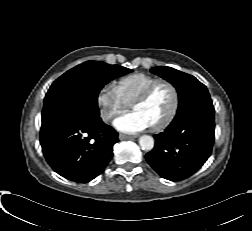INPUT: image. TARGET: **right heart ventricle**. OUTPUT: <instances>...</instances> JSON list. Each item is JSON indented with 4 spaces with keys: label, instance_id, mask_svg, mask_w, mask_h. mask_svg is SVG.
I'll return each mask as SVG.
<instances>
[{
    "label": "right heart ventricle",
    "instance_id": "obj_1",
    "mask_svg": "<svg viewBox=\"0 0 252 231\" xmlns=\"http://www.w3.org/2000/svg\"><path fill=\"white\" fill-rule=\"evenodd\" d=\"M158 78L145 73H134L122 77L117 83V89L122 98L131 104L151 83Z\"/></svg>",
    "mask_w": 252,
    "mask_h": 231
}]
</instances>
